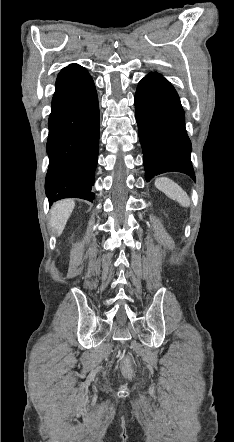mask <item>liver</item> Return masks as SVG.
Segmentation results:
<instances>
[{
    "instance_id": "liver-1",
    "label": "liver",
    "mask_w": 234,
    "mask_h": 442,
    "mask_svg": "<svg viewBox=\"0 0 234 442\" xmlns=\"http://www.w3.org/2000/svg\"><path fill=\"white\" fill-rule=\"evenodd\" d=\"M74 206V200L65 199L57 202L52 207L50 226L58 236L62 233L66 222L74 209Z\"/></svg>"
}]
</instances>
